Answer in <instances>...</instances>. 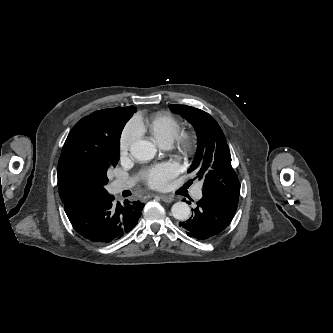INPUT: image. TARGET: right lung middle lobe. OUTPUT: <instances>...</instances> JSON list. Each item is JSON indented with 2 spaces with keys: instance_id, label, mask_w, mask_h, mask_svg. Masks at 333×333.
I'll list each match as a JSON object with an SVG mask.
<instances>
[{
  "instance_id": "right-lung-middle-lobe-1",
  "label": "right lung middle lobe",
  "mask_w": 333,
  "mask_h": 333,
  "mask_svg": "<svg viewBox=\"0 0 333 333\" xmlns=\"http://www.w3.org/2000/svg\"><path fill=\"white\" fill-rule=\"evenodd\" d=\"M137 111L134 106L95 111L70 131L62 148L58 173L88 199L108 193L107 170L119 160L121 132Z\"/></svg>"
}]
</instances>
